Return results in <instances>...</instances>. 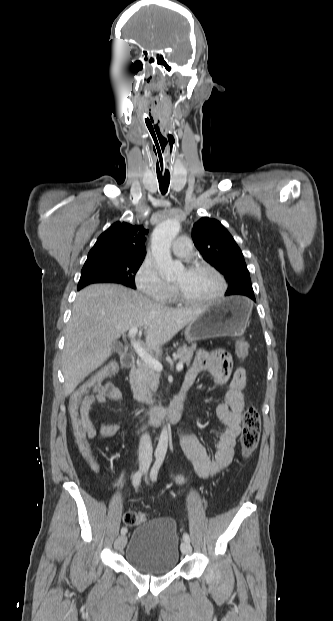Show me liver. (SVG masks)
<instances>
[{
    "label": "liver",
    "mask_w": 333,
    "mask_h": 621,
    "mask_svg": "<svg viewBox=\"0 0 333 621\" xmlns=\"http://www.w3.org/2000/svg\"><path fill=\"white\" fill-rule=\"evenodd\" d=\"M204 307L169 308L121 285L95 284L79 291L62 354L65 396L110 357L112 344L130 328L144 326L147 347L160 350Z\"/></svg>",
    "instance_id": "liver-1"
}]
</instances>
